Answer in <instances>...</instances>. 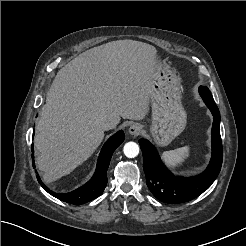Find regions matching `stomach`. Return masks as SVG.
I'll return each mask as SVG.
<instances>
[{
  "label": "stomach",
  "mask_w": 246,
  "mask_h": 246,
  "mask_svg": "<svg viewBox=\"0 0 246 246\" xmlns=\"http://www.w3.org/2000/svg\"><path fill=\"white\" fill-rule=\"evenodd\" d=\"M157 62V72L153 80L151 107L152 119L149 128L154 142L164 147L182 133L187 115L182 106L180 78L171 70Z\"/></svg>",
  "instance_id": "obj_1"
}]
</instances>
